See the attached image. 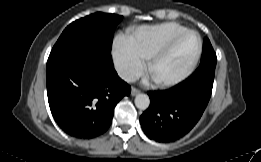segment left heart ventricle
I'll use <instances>...</instances> for the list:
<instances>
[{"instance_id":"b2bd125f","label":"left heart ventricle","mask_w":261,"mask_h":162,"mask_svg":"<svg viewBox=\"0 0 261 162\" xmlns=\"http://www.w3.org/2000/svg\"><path fill=\"white\" fill-rule=\"evenodd\" d=\"M198 47V38L189 33L182 36L171 50L153 66L150 75L157 79H167L182 72L192 60Z\"/></svg>"}]
</instances>
